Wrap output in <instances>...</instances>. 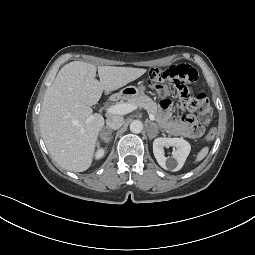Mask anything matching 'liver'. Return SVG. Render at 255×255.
Here are the masks:
<instances>
[{
    "label": "liver",
    "instance_id": "liver-1",
    "mask_svg": "<svg viewBox=\"0 0 255 255\" xmlns=\"http://www.w3.org/2000/svg\"><path fill=\"white\" fill-rule=\"evenodd\" d=\"M83 61L64 65L46 90L40 111V130L44 143L61 167L87 170L93 160L97 138L104 126L100 114H92L103 91L109 94L141 77L146 69L98 66ZM93 116L90 122L87 118Z\"/></svg>",
    "mask_w": 255,
    "mask_h": 255
}]
</instances>
